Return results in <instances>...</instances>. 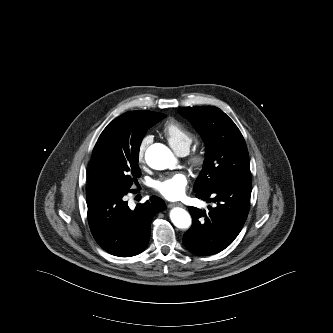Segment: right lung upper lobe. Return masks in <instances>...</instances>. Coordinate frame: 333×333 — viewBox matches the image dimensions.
I'll return each mask as SVG.
<instances>
[{
	"mask_svg": "<svg viewBox=\"0 0 333 333\" xmlns=\"http://www.w3.org/2000/svg\"><path fill=\"white\" fill-rule=\"evenodd\" d=\"M152 113L153 112L150 111H130L113 120L106 128H115L122 131L129 130L133 128L139 120L149 117Z\"/></svg>",
	"mask_w": 333,
	"mask_h": 333,
	"instance_id": "right-lung-upper-lobe-1",
	"label": "right lung upper lobe"
}]
</instances>
